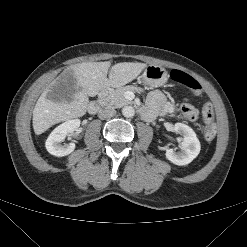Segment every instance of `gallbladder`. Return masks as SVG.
I'll list each match as a JSON object with an SVG mask.
<instances>
[{
  "label": "gallbladder",
  "instance_id": "bac80fb5",
  "mask_svg": "<svg viewBox=\"0 0 247 247\" xmlns=\"http://www.w3.org/2000/svg\"><path fill=\"white\" fill-rule=\"evenodd\" d=\"M59 88L60 90L66 89L67 88V84L63 81H59L58 83H56V86L54 88Z\"/></svg>",
  "mask_w": 247,
  "mask_h": 247
}]
</instances>
